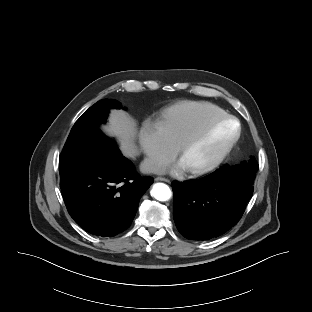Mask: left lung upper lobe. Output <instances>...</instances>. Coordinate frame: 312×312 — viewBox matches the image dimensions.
<instances>
[{
    "mask_svg": "<svg viewBox=\"0 0 312 312\" xmlns=\"http://www.w3.org/2000/svg\"><path fill=\"white\" fill-rule=\"evenodd\" d=\"M233 175L239 178L241 181L247 183L248 186L253 185L255 173L257 172L259 165L253 157L248 162H242L235 166H226Z\"/></svg>",
    "mask_w": 312,
    "mask_h": 312,
    "instance_id": "left-lung-upper-lobe-1",
    "label": "left lung upper lobe"
}]
</instances>
